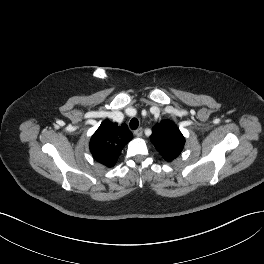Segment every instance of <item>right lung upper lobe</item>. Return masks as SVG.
Listing matches in <instances>:
<instances>
[{"label":"right lung upper lobe","mask_w":264,"mask_h":264,"mask_svg":"<svg viewBox=\"0 0 264 264\" xmlns=\"http://www.w3.org/2000/svg\"><path fill=\"white\" fill-rule=\"evenodd\" d=\"M132 139V133L123 124L111 123L105 120L93 134L90 140V151L98 162L113 167L123 147Z\"/></svg>","instance_id":"right-lung-upper-lobe-1"}]
</instances>
